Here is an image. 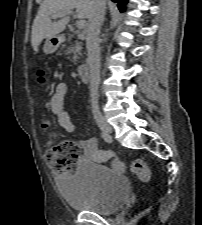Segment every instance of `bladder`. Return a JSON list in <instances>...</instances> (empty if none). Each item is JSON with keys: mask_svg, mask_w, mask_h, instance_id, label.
Segmentation results:
<instances>
[{"mask_svg": "<svg viewBox=\"0 0 202 225\" xmlns=\"http://www.w3.org/2000/svg\"><path fill=\"white\" fill-rule=\"evenodd\" d=\"M59 186L72 210L111 215L124 206L130 183L124 174L88 161L80 163L76 172L64 178Z\"/></svg>", "mask_w": 202, "mask_h": 225, "instance_id": "1", "label": "bladder"}]
</instances>
